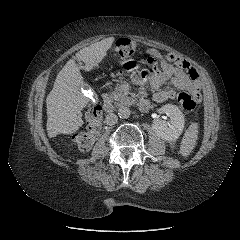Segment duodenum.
I'll use <instances>...</instances> for the list:
<instances>
[{
  "mask_svg": "<svg viewBox=\"0 0 240 240\" xmlns=\"http://www.w3.org/2000/svg\"><path fill=\"white\" fill-rule=\"evenodd\" d=\"M138 106L141 110H147L149 108V102L145 99H142L139 101ZM104 110L106 112H112L113 111V103L111 102V100H109L108 98L105 97L104 99V104H103Z\"/></svg>",
  "mask_w": 240,
  "mask_h": 240,
  "instance_id": "410a0bca",
  "label": "duodenum"
}]
</instances>
